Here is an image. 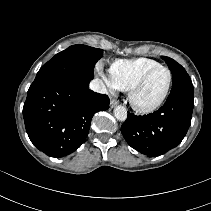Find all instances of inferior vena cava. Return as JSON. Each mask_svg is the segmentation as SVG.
<instances>
[{
  "label": "inferior vena cava",
  "instance_id": "602c4592",
  "mask_svg": "<svg viewBox=\"0 0 211 211\" xmlns=\"http://www.w3.org/2000/svg\"><path fill=\"white\" fill-rule=\"evenodd\" d=\"M90 89L93 90L94 92H99V93H107L106 86L100 79H94L90 82Z\"/></svg>",
  "mask_w": 211,
  "mask_h": 211
}]
</instances>
